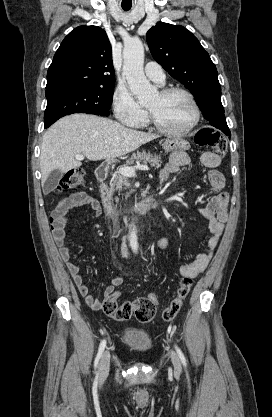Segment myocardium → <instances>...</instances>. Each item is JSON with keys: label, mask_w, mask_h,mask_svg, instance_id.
<instances>
[{"label": "myocardium", "mask_w": 272, "mask_h": 417, "mask_svg": "<svg viewBox=\"0 0 272 417\" xmlns=\"http://www.w3.org/2000/svg\"><path fill=\"white\" fill-rule=\"evenodd\" d=\"M162 97H168L174 94H182L186 96L194 110V118L191 124L181 130H172L169 128L164 127L156 118L154 113L148 109L147 116L149 123L159 132L170 135V136H184L190 133L200 122L201 118V109L200 106L195 98V96L187 89L181 87H169L165 88L160 91L159 93Z\"/></svg>", "instance_id": "obj_1"}]
</instances>
